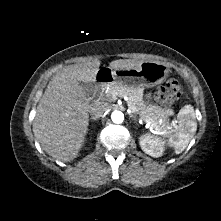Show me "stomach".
Wrapping results in <instances>:
<instances>
[{
    "label": "stomach",
    "instance_id": "0dacf381",
    "mask_svg": "<svg viewBox=\"0 0 221 221\" xmlns=\"http://www.w3.org/2000/svg\"><path fill=\"white\" fill-rule=\"evenodd\" d=\"M169 66L157 61H144L131 69L116 70L117 83L130 89L152 88L163 83L169 76Z\"/></svg>",
    "mask_w": 221,
    "mask_h": 221
}]
</instances>
